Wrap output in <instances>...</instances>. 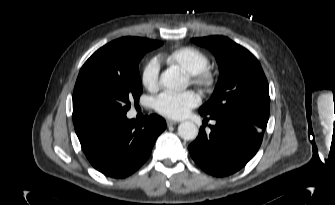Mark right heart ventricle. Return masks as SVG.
<instances>
[{
    "label": "right heart ventricle",
    "mask_w": 335,
    "mask_h": 205,
    "mask_svg": "<svg viewBox=\"0 0 335 205\" xmlns=\"http://www.w3.org/2000/svg\"><path fill=\"white\" fill-rule=\"evenodd\" d=\"M167 61L180 66L189 74L197 73L209 64L206 53L192 46H185L172 51L167 56Z\"/></svg>",
    "instance_id": "1"
}]
</instances>
